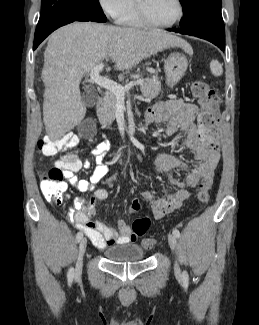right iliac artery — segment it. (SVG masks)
Here are the masks:
<instances>
[{
	"label": "right iliac artery",
	"mask_w": 259,
	"mask_h": 325,
	"mask_svg": "<svg viewBox=\"0 0 259 325\" xmlns=\"http://www.w3.org/2000/svg\"><path fill=\"white\" fill-rule=\"evenodd\" d=\"M83 237V233L82 232H78L77 235H76V240L77 242H79ZM68 280H73V277H74V269L73 268H70L69 271H68Z\"/></svg>",
	"instance_id": "1"
}]
</instances>
